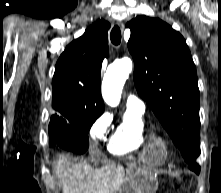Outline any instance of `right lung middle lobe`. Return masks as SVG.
<instances>
[{
  "label": "right lung middle lobe",
  "mask_w": 221,
  "mask_h": 193,
  "mask_svg": "<svg viewBox=\"0 0 221 193\" xmlns=\"http://www.w3.org/2000/svg\"><path fill=\"white\" fill-rule=\"evenodd\" d=\"M101 114L92 113L86 116L58 118L52 117L49 124V145L84 153L89 144L87 132Z\"/></svg>",
  "instance_id": "right-lung-middle-lobe-1"
}]
</instances>
